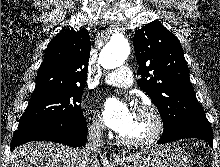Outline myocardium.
Listing matches in <instances>:
<instances>
[{
  "label": "myocardium",
  "instance_id": "myocardium-1",
  "mask_svg": "<svg viewBox=\"0 0 220 167\" xmlns=\"http://www.w3.org/2000/svg\"><path fill=\"white\" fill-rule=\"evenodd\" d=\"M136 110L143 113H149L153 117V130L148 136L138 140L126 139L119 134L117 137V141L120 144L128 147H143L157 142L162 136L165 129V122L162 113L159 111L157 107L151 104H140L136 106Z\"/></svg>",
  "mask_w": 220,
  "mask_h": 167
}]
</instances>
